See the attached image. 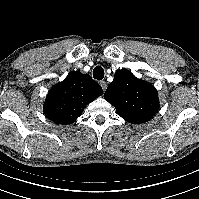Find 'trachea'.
<instances>
[{"instance_id":"1","label":"trachea","mask_w":199,"mask_h":199,"mask_svg":"<svg viewBox=\"0 0 199 199\" xmlns=\"http://www.w3.org/2000/svg\"><path fill=\"white\" fill-rule=\"evenodd\" d=\"M93 77L102 80L104 78V69L101 66H96L93 70Z\"/></svg>"}]
</instances>
